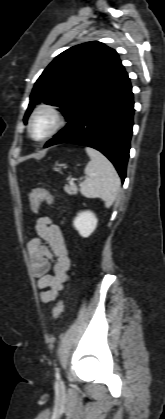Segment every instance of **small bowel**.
Here are the masks:
<instances>
[{
    "instance_id": "small-bowel-1",
    "label": "small bowel",
    "mask_w": 165,
    "mask_h": 419,
    "mask_svg": "<svg viewBox=\"0 0 165 419\" xmlns=\"http://www.w3.org/2000/svg\"><path fill=\"white\" fill-rule=\"evenodd\" d=\"M37 236L27 245L37 287L43 302L53 301L69 280L71 257L61 228L49 217L36 221ZM53 260V261H52Z\"/></svg>"
}]
</instances>
